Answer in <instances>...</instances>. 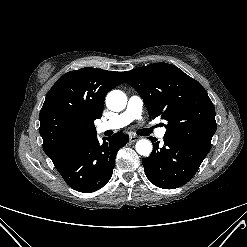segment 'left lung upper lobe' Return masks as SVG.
<instances>
[{
    "mask_svg": "<svg viewBox=\"0 0 247 247\" xmlns=\"http://www.w3.org/2000/svg\"><path fill=\"white\" fill-rule=\"evenodd\" d=\"M152 117L168 124L164 138L210 151L216 132L215 109L205 89L178 67L155 63L123 72Z\"/></svg>",
    "mask_w": 247,
    "mask_h": 247,
    "instance_id": "left-lung-upper-lobe-1",
    "label": "left lung upper lobe"
}]
</instances>
